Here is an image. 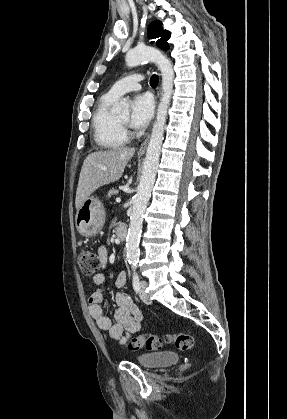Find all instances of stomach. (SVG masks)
<instances>
[{
	"instance_id": "1",
	"label": "stomach",
	"mask_w": 287,
	"mask_h": 419,
	"mask_svg": "<svg viewBox=\"0 0 287 419\" xmlns=\"http://www.w3.org/2000/svg\"><path fill=\"white\" fill-rule=\"evenodd\" d=\"M105 222V210L101 201L91 196L77 210L75 223L79 233L85 237L97 235Z\"/></svg>"
}]
</instances>
